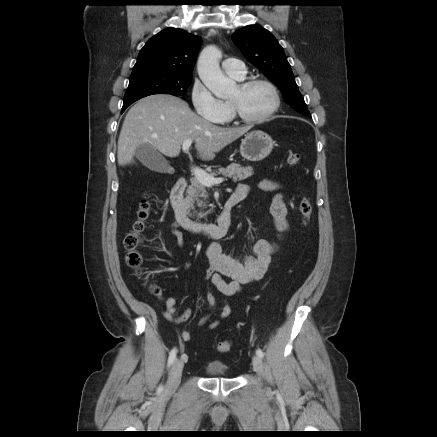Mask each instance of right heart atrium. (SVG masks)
<instances>
[{"mask_svg":"<svg viewBox=\"0 0 437 437\" xmlns=\"http://www.w3.org/2000/svg\"><path fill=\"white\" fill-rule=\"evenodd\" d=\"M191 102L197 115L211 122H222L230 113L228 104L215 97L199 80H195L192 86Z\"/></svg>","mask_w":437,"mask_h":437,"instance_id":"d8ad5b80","label":"right heart atrium"}]
</instances>
